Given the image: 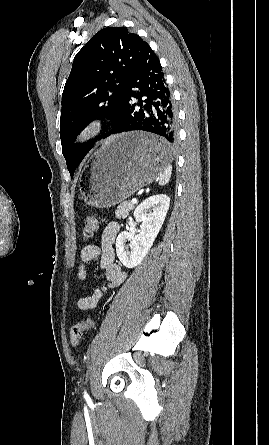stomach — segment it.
Returning a JSON list of instances; mask_svg holds the SVG:
<instances>
[{
	"mask_svg": "<svg viewBox=\"0 0 269 445\" xmlns=\"http://www.w3.org/2000/svg\"><path fill=\"white\" fill-rule=\"evenodd\" d=\"M162 140L145 132L109 138L84 168L79 187L85 203L96 208L119 204L151 184L171 161V152L148 151Z\"/></svg>",
	"mask_w": 269,
	"mask_h": 445,
	"instance_id": "1",
	"label": "stomach"
}]
</instances>
